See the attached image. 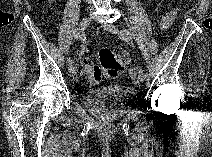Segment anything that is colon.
Instances as JSON below:
<instances>
[{
    "mask_svg": "<svg viewBox=\"0 0 212 157\" xmlns=\"http://www.w3.org/2000/svg\"><path fill=\"white\" fill-rule=\"evenodd\" d=\"M99 61L100 66L89 62L84 68H79L75 83L77 92L88 91L92 86L99 84L103 77L119 78L132 62L130 55L120 48H102L99 51Z\"/></svg>",
    "mask_w": 212,
    "mask_h": 157,
    "instance_id": "obj_1",
    "label": "colon"
}]
</instances>
